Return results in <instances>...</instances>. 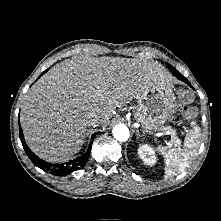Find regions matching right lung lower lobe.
Listing matches in <instances>:
<instances>
[{"mask_svg":"<svg viewBox=\"0 0 221 221\" xmlns=\"http://www.w3.org/2000/svg\"><path fill=\"white\" fill-rule=\"evenodd\" d=\"M46 71H44L41 75H43ZM96 134L97 133L93 134L91 138H93ZM19 137L22 142L23 148H24L27 156L30 158V160L35 165L40 167L42 170H44L46 172H50L51 174L58 175V176H64V175L70 174L73 171L79 170L81 167H83L85 165L86 161L88 160L89 155H90V151H91L92 142L90 143L87 151L82 156H80V157H78L68 163H65V164H51V163H48L42 159H39L38 156H36L30 150V148L25 143L23 131L20 126H19Z\"/></svg>","mask_w":221,"mask_h":221,"instance_id":"obj_1","label":"right lung lower lobe"}]
</instances>
